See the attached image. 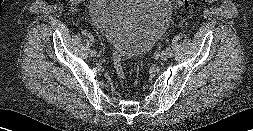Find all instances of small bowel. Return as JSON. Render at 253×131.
<instances>
[{
  "instance_id": "small-bowel-1",
  "label": "small bowel",
  "mask_w": 253,
  "mask_h": 131,
  "mask_svg": "<svg viewBox=\"0 0 253 131\" xmlns=\"http://www.w3.org/2000/svg\"><path fill=\"white\" fill-rule=\"evenodd\" d=\"M82 0H69V2L72 4V5H76L78 3H80Z\"/></svg>"
}]
</instances>
